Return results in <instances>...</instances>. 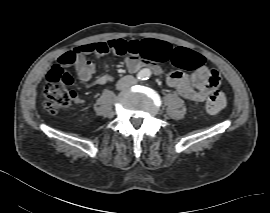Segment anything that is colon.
Here are the masks:
<instances>
[{
	"mask_svg": "<svg viewBox=\"0 0 270 213\" xmlns=\"http://www.w3.org/2000/svg\"><path fill=\"white\" fill-rule=\"evenodd\" d=\"M154 50L153 45L141 46L138 41H124L121 39L105 42V52L124 55H140L146 58L150 51ZM78 50L72 49L65 52L54 63L46 73V86L44 90L43 106L50 114L66 109L78 97L75 90L72 89L73 78L70 72L71 61L75 59ZM190 64L199 67L203 63L200 55H190ZM227 104L225 95L222 92H216L211 95L204 106L207 114H218L222 112Z\"/></svg>",
	"mask_w": 270,
	"mask_h": 213,
	"instance_id": "5ec220e1",
	"label": "colon"
}]
</instances>
